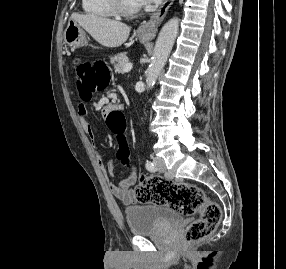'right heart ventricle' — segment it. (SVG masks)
Here are the masks:
<instances>
[{
    "label": "right heart ventricle",
    "instance_id": "e07e8e85",
    "mask_svg": "<svg viewBox=\"0 0 286 269\" xmlns=\"http://www.w3.org/2000/svg\"><path fill=\"white\" fill-rule=\"evenodd\" d=\"M84 13L95 18H111L114 13L110 10L105 0H82Z\"/></svg>",
    "mask_w": 286,
    "mask_h": 269
}]
</instances>
